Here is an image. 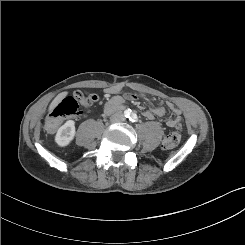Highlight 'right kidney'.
I'll use <instances>...</instances> for the list:
<instances>
[{
  "label": "right kidney",
  "mask_w": 245,
  "mask_h": 245,
  "mask_svg": "<svg viewBox=\"0 0 245 245\" xmlns=\"http://www.w3.org/2000/svg\"><path fill=\"white\" fill-rule=\"evenodd\" d=\"M75 133V122L69 120L58 129L55 142L61 147L67 146L73 140Z\"/></svg>",
  "instance_id": "right-kidney-1"
}]
</instances>
